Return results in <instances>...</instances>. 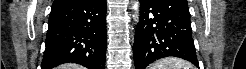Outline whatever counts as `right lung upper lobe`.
<instances>
[{"label": "right lung upper lobe", "instance_id": "right-lung-upper-lobe-1", "mask_svg": "<svg viewBox=\"0 0 246 69\" xmlns=\"http://www.w3.org/2000/svg\"><path fill=\"white\" fill-rule=\"evenodd\" d=\"M64 1H71V0H55L54 3L64 2Z\"/></svg>", "mask_w": 246, "mask_h": 69}]
</instances>
